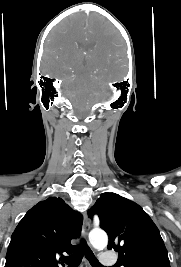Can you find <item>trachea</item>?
Segmentation results:
<instances>
[{"label":"trachea","mask_w":181,"mask_h":267,"mask_svg":"<svg viewBox=\"0 0 181 267\" xmlns=\"http://www.w3.org/2000/svg\"><path fill=\"white\" fill-rule=\"evenodd\" d=\"M83 255H85L92 267H103L91 249L86 246L84 241H82L79 248L71 256L63 258L62 261L69 267H78V265L81 263Z\"/></svg>","instance_id":"obj_1"}]
</instances>
